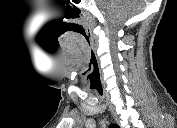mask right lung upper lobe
I'll list each match as a JSON object with an SVG mask.
<instances>
[{
  "mask_svg": "<svg viewBox=\"0 0 177 128\" xmlns=\"http://www.w3.org/2000/svg\"><path fill=\"white\" fill-rule=\"evenodd\" d=\"M111 127H117V125H115V124H112V125H111Z\"/></svg>",
  "mask_w": 177,
  "mask_h": 128,
  "instance_id": "obj_1",
  "label": "right lung upper lobe"
}]
</instances>
